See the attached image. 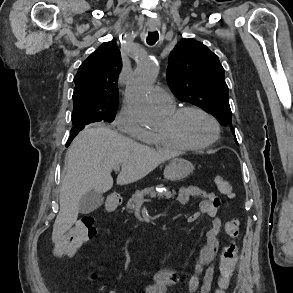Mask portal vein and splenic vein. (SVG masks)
Listing matches in <instances>:
<instances>
[{"label":"portal vein and splenic vein","mask_w":293,"mask_h":293,"mask_svg":"<svg viewBox=\"0 0 293 293\" xmlns=\"http://www.w3.org/2000/svg\"><path fill=\"white\" fill-rule=\"evenodd\" d=\"M114 170H115V171H119V170H120V167L117 166V167L114 168ZM142 200H143V198H141V201H142Z\"/></svg>","instance_id":"obj_1"}]
</instances>
